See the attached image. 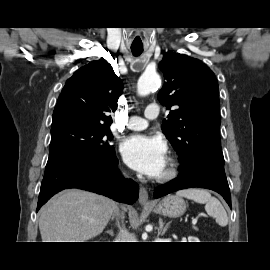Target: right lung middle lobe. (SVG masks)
<instances>
[{
    "label": "right lung middle lobe",
    "mask_w": 270,
    "mask_h": 270,
    "mask_svg": "<svg viewBox=\"0 0 270 270\" xmlns=\"http://www.w3.org/2000/svg\"><path fill=\"white\" fill-rule=\"evenodd\" d=\"M49 158L70 152H93L101 159L111 160L114 147L109 144L113 138L109 127L82 123H65L51 129Z\"/></svg>",
    "instance_id": "dd1d6c3e"
}]
</instances>
